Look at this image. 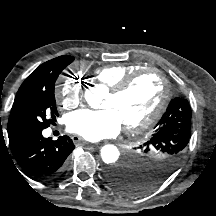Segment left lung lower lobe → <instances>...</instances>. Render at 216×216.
<instances>
[{
  "label": "left lung lower lobe",
  "instance_id": "obj_1",
  "mask_svg": "<svg viewBox=\"0 0 216 216\" xmlns=\"http://www.w3.org/2000/svg\"><path fill=\"white\" fill-rule=\"evenodd\" d=\"M133 173V168L121 166L110 169L106 173V179L119 193L127 196H135L132 184Z\"/></svg>",
  "mask_w": 216,
  "mask_h": 216
}]
</instances>
